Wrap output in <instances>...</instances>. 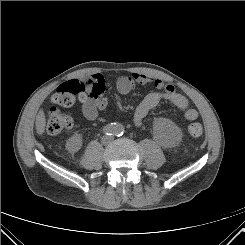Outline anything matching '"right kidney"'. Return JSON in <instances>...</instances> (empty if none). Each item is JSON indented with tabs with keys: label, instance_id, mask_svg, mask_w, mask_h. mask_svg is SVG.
Segmentation results:
<instances>
[{
	"label": "right kidney",
	"instance_id": "1",
	"mask_svg": "<svg viewBox=\"0 0 245 245\" xmlns=\"http://www.w3.org/2000/svg\"><path fill=\"white\" fill-rule=\"evenodd\" d=\"M82 146V135L80 133H75L71 136L67 143L66 147L71 152H77Z\"/></svg>",
	"mask_w": 245,
	"mask_h": 245
}]
</instances>
